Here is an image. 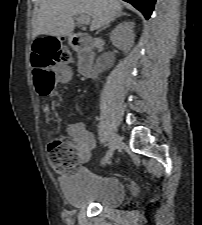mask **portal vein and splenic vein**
I'll use <instances>...</instances> for the list:
<instances>
[{
    "instance_id": "1",
    "label": "portal vein and splenic vein",
    "mask_w": 202,
    "mask_h": 225,
    "mask_svg": "<svg viewBox=\"0 0 202 225\" xmlns=\"http://www.w3.org/2000/svg\"><path fill=\"white\" fill-rule=\"evenodd\" d=\"M78 19L85 25H89L90 21H91V18L90 16L88 15H79Z\"/></svg>"
}]
</instances>
